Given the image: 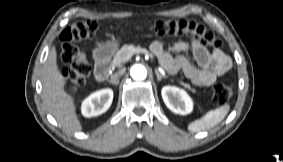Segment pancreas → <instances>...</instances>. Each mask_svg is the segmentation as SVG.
<instances>
[{
    "label": "pancreas",
    "instance_id": "obj_1",
    "mask_svg": "<svg viewBox=\"0 0 283 162\" xmlns=\"http://www.w3.org/2000/svg\"><path fill=\"white\" fill-rule=\"evenodd\" d=\"M145 49L140 47H135L134 45H124L114 56L112 65L118 66L122 63H125L130 56H132L134 53H139L141 51H144ZM181 85H183L185 88L190 90L191 92H195V89L191 88V86L187 83L180 82Z\"/></svg>",
    "mask_w": 283,
    "mask_h": 162
}]
</instances>
